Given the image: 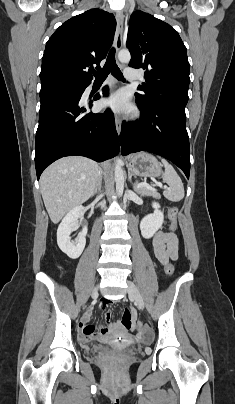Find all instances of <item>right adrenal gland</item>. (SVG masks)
Instances as JSON below:
<instances>
[{
    "mask_svg": "<svg viewBox=\"0 0 235 404\" xmlns=\"http://www.w3.org/2000/svg\"><path fill=\"white\" fill-rule=\"evenodd\" d=\"M102 187V177L99 176L93 195L97 194Z\"/></svg>",
    "mask_w": 235,
    "mask_h": 404,
    "instance_id": "1",
    "label": "right adrenal gland"
}]
</instances>
